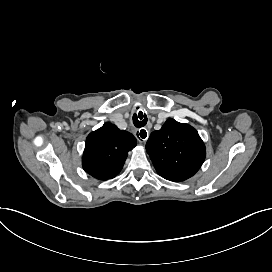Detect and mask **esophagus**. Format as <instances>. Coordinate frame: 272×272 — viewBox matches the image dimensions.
Here are the masks:
<instances>
[{"label": "esophagus", "mask_w": 272, "mask_h": 272, "mask_svg": "<svg viewBox=\"0 0 272 272\" xmlns=\"http://www.w3.org/2000/svg\"><path fill=\"white\" fill-rule=\"evenodd\" d=\"M138 140L140 142H144L146 141V135L144 132H141V130L138 131Z\"/></svg>", "instance_id": "1"}]
</instances>
